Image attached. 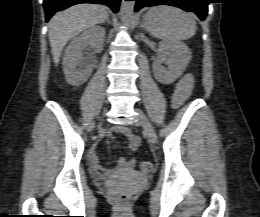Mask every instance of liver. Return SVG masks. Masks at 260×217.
I'll return each instance as SVG.
<instances>
[{
	"label": "liver",
	"instance_id": "obj_1",
	"mask_svg": "<svg viewBox=\"0 0 260 217\" xmlns=\"http://www.w3.org/2000/svg\"><path fill=\"white\" fill-rule=\"evenodd\" d=\"M105 7L95 4H78L56 13L49 21V41L53 61L57 66L66 43L79 32L106 21Z\"/></svg>",
	"mask_w": 260,
	"mask_h": 217
}]
</instances>
